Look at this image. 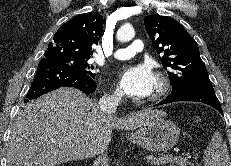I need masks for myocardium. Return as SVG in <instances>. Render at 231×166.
Listing matches in <instances>:
<instances>
[{
    "label": "myocardium",
    "instance_id": "obj_1",
    "mask_svg": "<svg viewBox=\"0 0 231 166\" xmlns=\"http://www.w3.org/2000/svg\"><path fill=\"white\" fill-rule=\"evenodd\" d=\"M169 89V81L167 77L158 72L155 76V88L152 91L151 95L148 97V101H157L161 99Z\"/></svg>",
    "mask_w": 231,
    "mask_h": 166
}]
</instances>
